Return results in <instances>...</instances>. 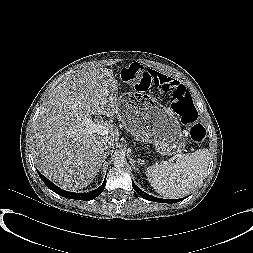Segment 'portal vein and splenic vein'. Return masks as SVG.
Masks as SVG:
<instances>
[{"label": "portal vein and splenic vein", "mask_w": 253, "mask_h": 253, "mask_svg": "<svg viewBox=\"0 0 253 253\" xmlns=\"http://www.w3.org/2000/svg\"><path fill=\"white\" fill-rule=\"evenodd\" d=\"M83 125L85 126V133L93 134L97 133L99 135H108L110 132V128L101 123H95L90 118H84L82 120Z\"/></svg>", "instance_id": "obj_1"}]
</instances>
